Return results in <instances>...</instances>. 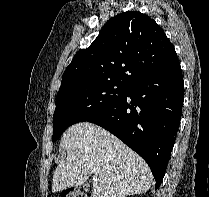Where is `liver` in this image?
<instances>
[{"label":"liver","instance_id":"1","mask_svg":"<svg viewBox=\"0 0 209 197\" xmlns=\"http://www.w3.org/2000/svg\"><path fill=\"white\" fill-rule=\"evenodd\" d=\"M60 147L67 152L53 175L52 192L83 184L94 173L92 197H126L149 190L148 164L104 128L81 122L64 133Z\"/></svg>","mask_w":209,"mask_h":197}]
</instances>
